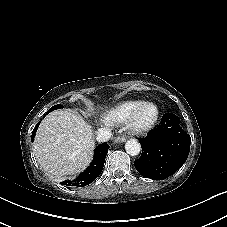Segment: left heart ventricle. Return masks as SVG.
Segmentation results:
<instances>
[{
  "mask_svg": "<svg viewBox=\"0 0 227 227\" xmlns=\"http://www.w3.org/2000/svg\"><path fill=\"white\" fill-rule=\"evenodd\" d=\"M154 114V109L152 107H145L141 110L138 120L141 122L149 120Z\"/></svg>",
  "mask_w": 227,
  "mask_h": 227,
  "instance_id": "left-heart-ventricle-1",
  "label": "left heart ventricle"
}]
</instances>
